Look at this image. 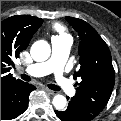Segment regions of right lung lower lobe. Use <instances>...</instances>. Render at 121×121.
Listing matches in <instances>:
<instances>
[{"mask_svg":"<svg viewBox=\"0 0 121 121\" xmlns=\"http://www.w3.org/2000/svg\"><path fill=\"white\" fill-rule=\"evenodd\" d=\"M36 87L21 82L12 84L1 91V120L18 117L28 107L29 95Z\"/></svg>","mask_w":121,"mask_h":121,"instance_id":"right-lung-lower-lobe-1","label":"right lung lower lobe"}]
</instances>
